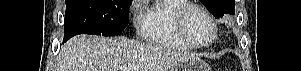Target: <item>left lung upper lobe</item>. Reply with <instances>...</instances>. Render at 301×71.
Segmentation results:
<instances>
[{"mask_svg":"<svg viewBox=\"0 0 301 71\" xmlns=\"http://www.w3.org/2000/svg\"><path fill=\"white\" fill-rule=\"evenodd\" d=\"M204 6L215 16L223 17L225 14L234 15L235 0H201Z\"/></svg>","mask_w":301,"mask_h":71,"instance_id":"5c2ea615","label":"left lung upper lobe"}]
</instances>
